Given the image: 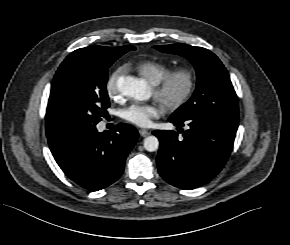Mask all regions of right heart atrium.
I'll return each mask as SVG.
<instances>
[{
	"label": "right heart atrium",
	"instance_id": "d8ad5b80",
	"mask_svg": "<svg viewBox=\"0 0 290 245\" xmlns=\"http://www.w3.org/2000/svg\"><path fill=\"white\" fill-rule=\"evenodd\" d=\"M123 71L124 69L122 67L115 69L106 82V92L111 99L118 100L122 97L118 86V79Z\"/></svg>",
	"mask_w": 290,
	"mask_h": 245
}]
</instances>
